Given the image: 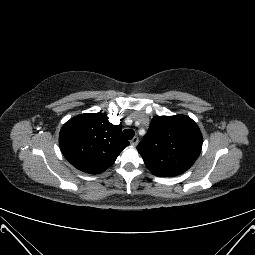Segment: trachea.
Wrapping results in <instances>:
<instances>
[{
  "mask_svg": "<svg viewBox=\"0 0 255 255\" xmlns=\"http://www.w3.org/2000/svg\"><path fill=\"white\" fill-rule=\"evenodd\" d=\"M134 131L132 129H125L123 131V138L127 139V140H130L134 137Z\"/></svg>",
  "mask_w": 255,
  "mask_h": 255,
  "instance_id": "1",
  "label": "trachea"
}]
</instances>
